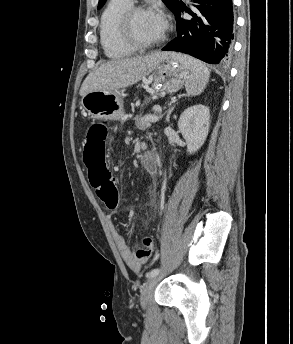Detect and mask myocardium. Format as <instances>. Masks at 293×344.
<instances>
[{
  "mask_svg": "<svg viewBox=\"0 0 293 344\" xmlns=\"http://www.w3.org/2000/svg\"><path fill=\"white\" fill-rule=\"evenodd\" d=\"M150 11L148 7L144 5H131L120 16L118 21L119 34L122 40L134 48L135 50H147L160 44L166 40V34L163 33L161 38L155 41L145 42L139 40L132 31V22L134 17L141 12Z\"/></svg>",
  "mask_w": 293,
  "mask_h": 344,
  "instance_id": "myocardium-1",
  "label": "myocardium"
}]
</instances>
